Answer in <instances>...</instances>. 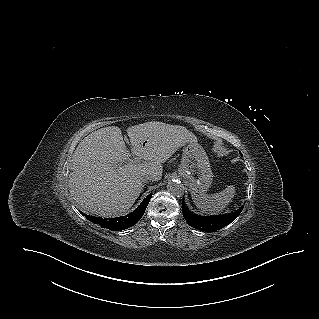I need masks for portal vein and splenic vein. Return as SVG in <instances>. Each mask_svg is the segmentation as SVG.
I'll return each mask as SVG.
<instances>
[{"instance_id":"obj_1","label":"portal vein and splenic vein","mask_w":319,"mask_h":319,"mask_svg":"<svg viewBox=\"0 0 319 319\" xmlns=\"http://www.w3.org/2000/svg\"><path fill=\"white\" fill-rule=\"evenodd\" d=\"M139 161H140V159H139V158H135V159H133V160H130V162H132V163H136V164H138V163H139Z\"/></svg>"}]
</instances>
